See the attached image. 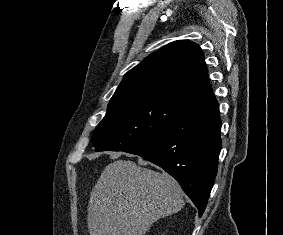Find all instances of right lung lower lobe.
<instances>
[{
  "label": "right lung lower lobe",
  "mask_w": 283,
  "mask_h": 235,
  "mask_svg": "<svg viewBox=\"0 0 283 235\" xmlns=\"http://www.w3.org/2000/svg\"><path fill=\"white\" fill-rule=\"evenodd\" d=\"M220 131L219 105L211 92L187 103L162 133L124 152L139 155L172 175L201 217L217 173Z\"/></svg>",
  "instance_id": "98d812e1"
}]
</instances>
